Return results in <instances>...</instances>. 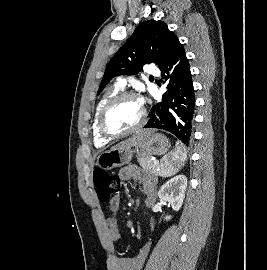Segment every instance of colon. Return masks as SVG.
Returning a JSON list of instances; mask_svg holds the SVG:
<instances>
[{
    "instance_id": "obj_1",
    "label": "colon",
    "mask_w": 267,
    "mask_h": 270,
    "mask_svg": "<svg viewBox=\"0 0 267 270\" xmlns=\"http://www.w3.org/2000/svg\"><path fill=\"white\" fill-rule=\"evenodd\" d=\"M93 182L100 202H109L119 193V177L110 174L105 170H95L93 174Z\"/></svg>"
}]
</instances>
